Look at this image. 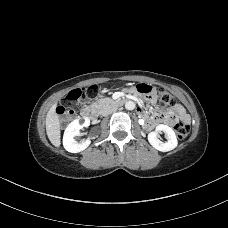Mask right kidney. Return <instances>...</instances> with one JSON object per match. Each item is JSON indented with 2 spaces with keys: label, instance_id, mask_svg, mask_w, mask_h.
Instances as JSON below:
<instances>
[{
  "label": "right kidney",
  "instance_id": "right-kidney-1",
  "mask_svg": "<svg viewBox=\"0 0 228 228\" xmlns=\"http://www.w3.org/2000/svg\"><path fill=\"white\" fill-rule=\"evenodd\" d=\"M90 125V119L85 117L81 124L80 119L73 120L65 129L63 136V146L65 150L71 153H78L85 150L91 143L90 140H85L80 143L75 141L74 137L80 134V130Z\"/></svg>",
  "mask_w": 228,
  "mask_h": 228
}]
</instances>
